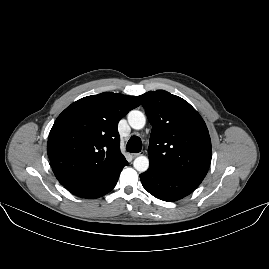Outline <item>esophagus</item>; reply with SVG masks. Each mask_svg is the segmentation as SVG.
Segmentation results:
<instances>
[{
  "instance_id": "1",
  "label": "esophagus",
  "mask_w": 269,
  "mask_h": 269,
  "mask_svg": "<svg viewBox=\"0 0 269 269\" xmlns=\"http://www.w3.org/2000/svg\"><path fill=\"white\" fill-rule=\"evenodd\" d=\"M141 153L138 152V153H134V154H131L132 158H136L137 156H139Z\"/></svg>"
}]
</instances>
